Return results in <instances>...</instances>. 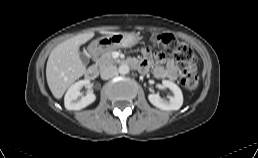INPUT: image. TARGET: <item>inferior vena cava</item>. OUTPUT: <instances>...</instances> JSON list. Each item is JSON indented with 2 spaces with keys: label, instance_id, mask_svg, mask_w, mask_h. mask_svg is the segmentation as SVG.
Wrapping results in <instances>:
<instances>
[{
  "label": "inferior vena cava",
  "instance_id": "obj_1",
  "mask_svg": "<svg viewBox=\"0 0 258 158\" xmlns=\"http://www.w3.org/2000/svg\"><path fill=\"white\" fill-rule=\"evenodd\" d=\"M117 74L116 66H107L101 71V78L107 80Z\"/></svg>",
  "mask_w": 258,
  "mask_h": 158
}]
</instances>
